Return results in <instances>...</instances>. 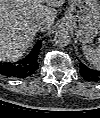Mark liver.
I'll use <instances>...</instances> for the list:
<instances>
[{
	"mask_svg": "<svg viewBox=\"0 0 100 118\" xmlns=\"http://www.w3.org/2000/svg\"><path fill=\"white\" fill-rule=\"evenodd\" d=\"M65 0H0V60L17 61L30 46L36 32L33 25L43 22L50 29L57 7Z\"/></svg>",
	"mask_w": 100,
	"mask_h": 118,
	"instance_id": "1",
	"label": "liver"
}]
</instances>
